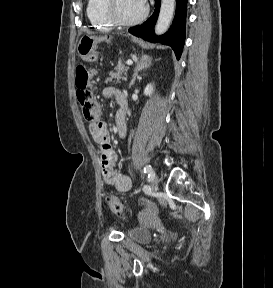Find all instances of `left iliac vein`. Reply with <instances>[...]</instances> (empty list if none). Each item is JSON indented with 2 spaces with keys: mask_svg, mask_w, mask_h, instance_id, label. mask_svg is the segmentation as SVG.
Listing matches in <instances>:
<instances>
[{
  "mask_svg": "<svg viewBox=\"0 0 273 288\" xmlns=\"http://www.w3.org/2000/svg\"><path fill=\"white\" fill-rule=\"evenodd\" d=\"M151 190L155 191L158 188V177L156 176V174L154 173L153 178L151 179Z\"/></svg>",
  "mask_w": 273,
  "mask_h": 288,
  "instance_id": "1",
  "label": "left iliac vein"
}]
</instances>
